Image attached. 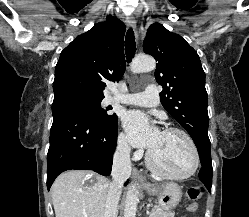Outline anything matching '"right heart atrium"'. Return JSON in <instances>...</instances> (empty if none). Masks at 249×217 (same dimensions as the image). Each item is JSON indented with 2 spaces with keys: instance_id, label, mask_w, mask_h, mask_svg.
Wrapping results in <instances>:
<instances>
[{
  "instance_id": "right-heart-atrium-1",
  "label": "right heart atrium",
  "mask_w": 249,
  "mask_h": 217,
  "mask_svg": "<svg viewBox=\"0 0 249 217\" xmlns=\"http://www.w3.org/2000/svg\"><path fill=\"white\" fill-rule=\"evenodd\" d=\"M118 150L124 156H127L130 153V145L127 136L124 133L118 135Z\"/></svg>"
}]
</instances>
